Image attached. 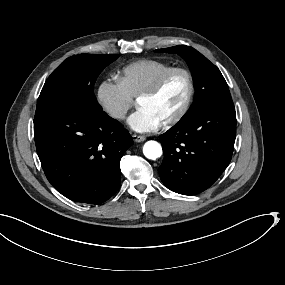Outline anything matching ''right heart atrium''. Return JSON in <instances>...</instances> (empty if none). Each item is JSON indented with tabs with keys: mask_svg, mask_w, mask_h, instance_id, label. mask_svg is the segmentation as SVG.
<instances>
[{
	"mask_svg": "<svg viewBox=\"0 0 285 285\" xmlns=\"http://www.w3.org/2000/svg\"><path fill=\"white\" fill-rule=\"evenodd\" d=\"M99 96L106 113L118 121L123 120L136 104L128 90L111 78L101 81Z\"/></svg>",
	"mask_w": 285,
	"mask_h": 285,
	"instance_id": "right-heart-atrium-1",
	"label": "right heart atrium"
}]
</instances>
